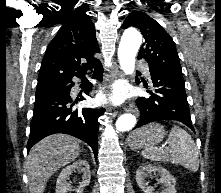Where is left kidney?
<instances>
[{"mask_svg":"<svg viewBox=\"0 0 221 193\" xmlns=\"http://www.w3.org/2000/svg\"><path fill=\"white\" fill-rule=\"evenodd\" d=\"M152 173H157L160 176L158 183L163 186L161 193H176V179L166 169L150 164L140 166L136 171V182L144 193H158L154 192V187L148 186V183L145 182V178Z\"/></svg>","mask_w":221,"mask_h":193,"instance_id":"obj_1","label":"left kidney"}]
</instances>
